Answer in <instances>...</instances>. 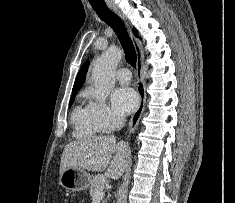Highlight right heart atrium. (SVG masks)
Segmentation results:
<instances>
[{"label": "right heart atrium", "instance_id": "obj_1", "mask_svg": "<svg viewBox=\"0 0 235 203\" xmlns=\"http://www.w3.org/2000/svg\"><path fill=\"white\" fill-rule=\"evenodd\" d=\"M89 109L100 132H111L122 122V118L102 101H91L89 103Z\"/></svg>", "mask_w": 235, "mask_h": 203}]
</instances>
